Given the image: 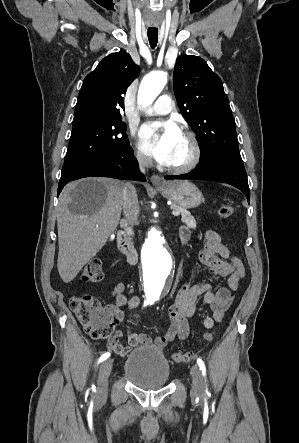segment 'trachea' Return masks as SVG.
<instances>
[{"mask_svg": "<svg viewBox=\"0 0 299 443\" xmlns=\"http://www.w3.org/2000/svg\"><path fill=\"white\" fill-rule=\"evenodd\" d=\"M148 39L151 48H155L158 42V30L157 29H148Z\"/></svg>", "mask_w": 299, "mask_h": 443, "instance_id": "1", "label": "trachea"}]
</instances>
